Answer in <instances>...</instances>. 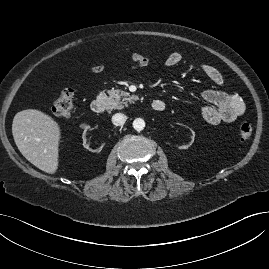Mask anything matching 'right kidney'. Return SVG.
<instances>
[{
	"instance_id": "ca27d5eb",
	"label": "right kidney",
	"mask_w": 269,
	"mask_h": 269,
	"mask_svg": "<svg viewBox=\"0 0 269 269\" xmlns=\"http://www.w3.org/2000/svg\"><path fill=\"white\" fill-rule=\"evenodd\" d=\"M80 127L84 129V132H83V141H84L86 150L90 151L91 153H98L103 148H105V143L90 144V145H89V143H86L85 134H86L87 130L90 129V126L89 125H86V124H81Z\"/></svg>"
}]
</instances>
